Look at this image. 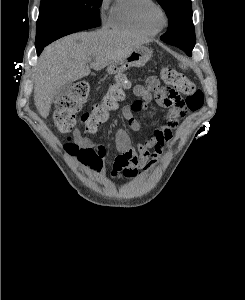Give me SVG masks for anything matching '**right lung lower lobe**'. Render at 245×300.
<instances>
[{"mask_svg": "<svg viewBox=\"0 0 245 300\" xmlns=\"http://www.w3.org/2000/svg\"><path fill=\"white\" fill-rule=\"evenodd\" d=\"M100 26V24H93L91 26H88L87 29L89 28H93V27H98ZM47 44H44V45H41L40 47H36V50H37V55H39L41 53V51L43 50V48L46 46Z\"/></svg>", "mask_w": 245, "mask_h": 300, "instance_id": "right-lung-lower-lobe-1", "label": "right lung lower lobe"}]
</instances>
